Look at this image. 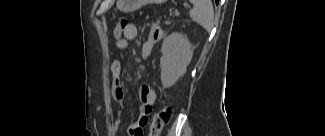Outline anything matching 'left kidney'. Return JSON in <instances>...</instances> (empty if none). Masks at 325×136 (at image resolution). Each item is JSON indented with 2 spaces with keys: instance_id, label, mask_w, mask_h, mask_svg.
Here are the masks:
<instances>
[{
  "instance_id": "obj_1",
  "label": "left kidney",
  "mask_w": 325,
  "mask_h": 136,
  "mask_svg": "<svg viewBox=\"0 0 325 136\" xmlns=\"http://www.w3.org/2000/svg\"><path fill=\"white\" fill-rule=\"evenodd\" d=\"M161 53V82L164 88H169L186 73L193 51L185 35L173 32L164 39Z\"/></svg>"
}]
</instances>
